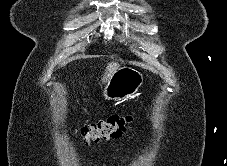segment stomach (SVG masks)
Wrapping results in <instances>:
<instances>
[{
  "label": "stomach",
  "instance_id": "stomach-1",
  "mask_svg": "<svg viewBox=\"0 0 227 166\" xmlns=\"http://www.w3.org/2000/svg\"><path fill=\"white\" fill-rule=\"evenodd\" d=\"M144 82L143 75L130 66L120 67L110 77L102 96L106 100H126L134 97Z\"/></svg>",
  "mask_w": 227,
  "mask_h": 166
}]
</instances>
